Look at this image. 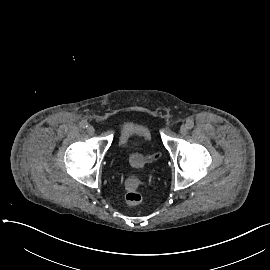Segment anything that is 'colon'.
I'll use <instances>...</instances> for the list:
<instances>
[{"mask_svg":"<svg viewBox=\"0 0 270 270\" xmlns=\"http://www.w3.org/2000/svg\"><path fill=\"white\" fill-rule=\"evenodd\" d=\"M125 201L131 205L140 204L142 201V194L134 184H128L124 195Z\"/></svg>","mask_w":270,"mask_h":270,"instance_id":"colon-1","label":"colon"}]
</instances>
